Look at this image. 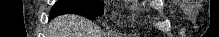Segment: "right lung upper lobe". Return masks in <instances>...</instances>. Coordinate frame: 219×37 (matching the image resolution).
I'll return each instance as SVG.
<instances>
[{
	"mask_svg": "<svg viewBox=\"0 0 219 37\" xmlns=\"http://www.w3.org/2000/svg\"><path fill=\"white\" fill-rule=\"evenodd\" d=\"M92 1H101V0H92Z\"/></svg>",
	"mask_w": 219,
	"mask_h": 37,
	"instance_id": "cb5924a9",
	"label": "right lung upper lobe"
}]
</instances>
